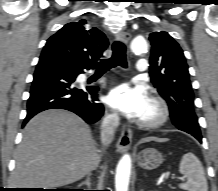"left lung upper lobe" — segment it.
I'll use <instances>...</instances> for the list:
<instances>
[{
	"mask_svg": "<svg viewBox=\"0 0 218 191\" xmlns=\"http://www.w3.org/2000/svg\"><path fill=\"white\" fill-rule=\"evenodd\" d=\"M151 41L150 76L154 87L167 101L170 117L175 123L187 109L188 121H180L186 132L200 133L198 119L194 113V94L189 79L188 66L179 44L164 31L153 32Z\"/></svg>",
	"mask_w": 218,
	"mask_h": 191,
	"instance_id": "left-lung-upper-lobe-1",
	"label": "left lung upper lobe"
}]
</instances>
